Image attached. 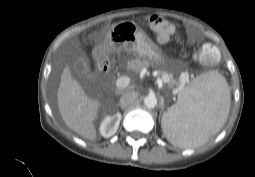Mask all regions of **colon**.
I'll use <instances>...</instances> for the list:
<instances>
[{
  "label": "colon",
  "mask_w": 255,
  "mask_h": 177,
  "mask_svg": "<svg viewBox=\"0 0 255 177\" xmlns=\"http://www.w3.org/2000/svg\"><path fill=\"white\" fill-rule=\"evenodd\" d=\"M149 25L156 34L158 40L167 41L173 32V24L164 17L154 14L149 18ZM219 58L216 46L210 43L203 44L195 53V59L206 64H214Z\"/></svg>",
  "instance_id": "colon-1"
}]
</instances>
